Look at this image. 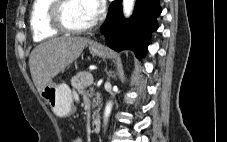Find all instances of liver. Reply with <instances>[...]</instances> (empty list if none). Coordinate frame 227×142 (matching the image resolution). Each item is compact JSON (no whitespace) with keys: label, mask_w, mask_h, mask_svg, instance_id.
<instances>
[{"label":"liver","mask_w":227,"mask_h":142,"mask_svg":"<svg viewBox=\"0 0 227 142\" xmlns=\"http://www.w3.org/2000/svg\"><path fill=\"white\" fill-rule=\"evenodd\" d=\"M88 42L83 37L63 36L42 42L32 50L29 67L39 93L52 78L80 56Z\"/></svg>","instance_id":"obj_1"}]
</instances>
